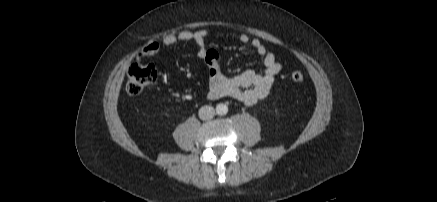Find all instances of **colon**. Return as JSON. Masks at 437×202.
Here are the masks:
<instances>
[{
    "mask_svg": "<svg viewBox=\"0 0 437 202\" xmlns=\"http://www.w3.org/2000/svg\"><path fill=\"white\" fill-rule=\"evenodd\" d=\"M158 76L157 68L152 64H133L127 75L126 91L130 95H139L143 90L153 84ZM291 80L299 83L304 80L300 71L291 74Z\"/></svg>",
    "mask_w": 437,
    "mask_h": 202,
    "instance_id": "obj_1",
    "label": "colon"
}]
</instances>
